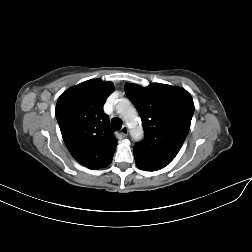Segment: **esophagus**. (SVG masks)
Here are the masks:
<instances>
[{
    "label": "esophagus",
    "mask_w": 252,
    "mask_h": 252,
    "mask_svg": "<svg viewBox=\"0 0 252 252\" xmlns=\"http://www.w3.org/2000/svg\"><path fill=\"white\" fill-rule=\"evenodd\" d=\"M121 134L125 137L128 135V127L126 125H124L121 130H120Z\"/></svg>",
    "instance_id": "1"
}]
</instances>
